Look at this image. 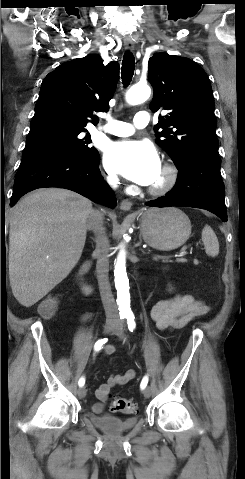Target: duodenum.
<instances>
[{
	"instance_id": "duodenum-1",
	"label": "duodenum",
	"mask_w": 245,
	"mask_h": 479,
	"mask_svg": "<svg viewBox=\"0 0 245 479\" xmlns=\"http://www.w3.org/2000/svg\"><path fill=\"white\" fill-rule=\"evenodd\" d=\"M86 267H87V266L85 265V266L82 268L81 272H80V277H79L80 280H81L82 274H83V272L85 271ZM81 284H82L83 289H85L86 291H89V290H90V288H89L88 286L84 285L82 282H81Z\"/></svg>"
}]
</instances>
